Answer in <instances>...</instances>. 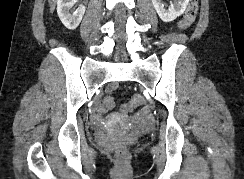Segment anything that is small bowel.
<instances>
[{
	"mask_svg": "<svg viewBox=\"0 0 244 179\" xmlns=\"http://www.w3.org/2000/svg\"><path fill=\"white\" fill-rule=\"evenodd\" d=\"M151 116H147V112L144 111L141 116H139L138 126H151Z\"/></svg>",
	"mask_w": 244,
	"mask_h": 179,
	"instance_id": "small-bowel-1",
	"label": "small bowel"
}]
</instances>
